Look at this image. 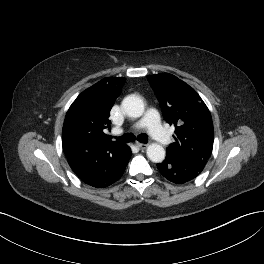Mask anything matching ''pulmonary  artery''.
Segmentation results:
<instances>
[{"label": "pulmonary artery", "mask_w": 264, "mask_h": 264, "mask_svg": "<svg viewBox=\"0 0 264 264\" xmlns=\"http://www.w3.org/2000/svg\"><path fill=\"white\" fill-rule=\"evenodd\" d=\"M144 127L148 128L151 136L162 146H166L170 143V137L161 126L160 117L157 110H148L144 118L132 124L130 129L138 130ZM118 132H122V129L118 130Z\"/></svg>", "instance_id": "1"}]
</instances>
